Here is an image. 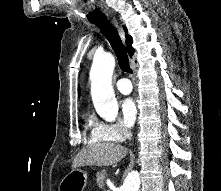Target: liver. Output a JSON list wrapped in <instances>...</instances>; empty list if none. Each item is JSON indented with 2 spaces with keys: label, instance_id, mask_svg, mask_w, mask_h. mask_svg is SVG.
Listing matches in <instances>:
<instances>
[{
  "label": "liver",
  "instance_id": "liver-1",
  "mask_svg": "<svg viewBox=\"0 0 221 191\" xmlns=\"http://www.w3.org/2000/svg\"><path fill=\"white\" fill-rule=\"evenodd\" d=\"M127 149L114 143H96L83 148L74 158L72 168L80 166H110L119 162Z\"/></svg>",
  "mask_w": 221,
  "mask_h": 191
}]
</instances>
